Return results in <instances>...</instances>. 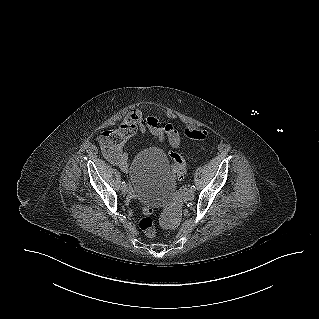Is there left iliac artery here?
<instances>
[{
    "label": "left iliac artery",
    "instance_id": "44dca946",
    "mask_svg": "<svg viewBox=\"0 0 319 319\" xmlns=\"http://www.w3.org/2000/svg\"><path fill=\"white\" fill-rule=\"evenodd\" d=\"M190 189L194 191L196 188H195L194 185H192V186L190 187Z\"/></svg>",
    "mask_w": 319,
    "mask_h": 319
}]
</instances>
